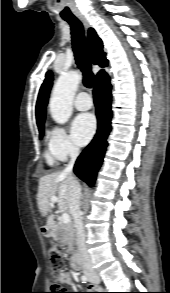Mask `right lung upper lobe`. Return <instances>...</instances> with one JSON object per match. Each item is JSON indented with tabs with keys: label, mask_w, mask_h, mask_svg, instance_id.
<instances>
[{
	"label": "right lung upper lobe",
	"mask_w": 170,
	"mask_h": 293,
	"mask_svg": "<svg viewBox=\"0 0 170 293\" xmlns=\"http://www.w3.org/2000/svg\"><path fill=\"white\" fill-rule=\"evenodd\" d=\"M102 47L103 45L101 39L97 36L94 29L90 28L88 31V48L90 59L94 64H98L104 67L107 66L108 61L105 58V53L103 52ZM105 75L107 74L104 72V70H101L96 76V81ZM52 80L53 74L51 72H48L46 74L45 81L42 84L39 91L38 100L36 104V119L38 127H44V120L46 114L45 108L48 102L49 92L52 86Z\"/></svg>",
	"instance_id": "obj_1"
}]
</instances>
